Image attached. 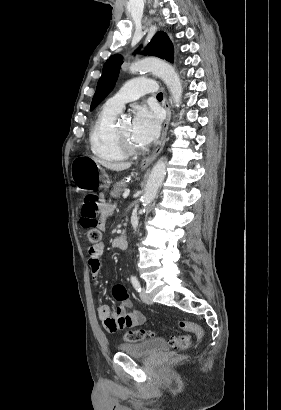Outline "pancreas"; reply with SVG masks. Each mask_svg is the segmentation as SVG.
Segmentation results:
<instances>
[{
    "label": "pancreas",
    "mask_w": 281,
    "mask_h": 410,
    "mask_svg": "<svg viewBox=\"0 0 281 410\" xmlns=\"http://www.w3.org/2000/svg\"><path fill=\"white\" fill-rule=\"evenodd\" d=\"M127 183L125 180H121L113 185V189L111 190V196L118 198L121 194L126 190Z\"/></svg>",
    "instance_id": "cf45deb5"
}]
</instances>
